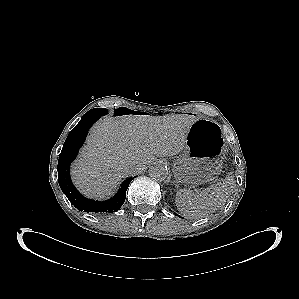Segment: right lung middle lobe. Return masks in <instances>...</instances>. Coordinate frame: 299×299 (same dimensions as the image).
Masks as SVG:
<instances>
[{
  "instance_id": "dd1d6c3e",
  "label": "right lung middle lobe",
  "mask_w": 299,
  "mask_h": 299,
  "mask_svg": "<svg viewBox=\"0 0 299 299\" xmlns=\"http://www.w3.org/2000/svg\"><path fill=\"white\" fill-rule=\"evenodd\" d=\"M107 113V109L106 108H94L89 110L86 114H84L82 117H87V116H91V115H105Z\"/></svg>"
}]
</instances>
